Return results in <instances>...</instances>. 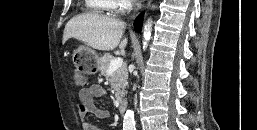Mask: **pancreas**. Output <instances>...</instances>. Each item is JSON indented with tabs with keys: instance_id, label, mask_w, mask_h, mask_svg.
I'll use <instances>...</instances> for the list:
<instances>
[{
	"instance_id": "1",
	"label": "pancreas",
	"mask_w": 257,
	"mask_h": 130,
	"mask_svg": "<svg viewBox=\"0 0 257 130\" xmlns=\"http://www.w3.org/2000/svg\"><path fill=\"white\" fill-rule=\"evenodd\" d=\"M114 57L108 53L104 54L99 59V70L102 76L109 79L112 89L115 91V98L120 100L125 94V87L127 86L128 72L127 66L123 64L121 67L116 69L108 78V68L110 62Z\"/></svg>"
}]
</instances>
